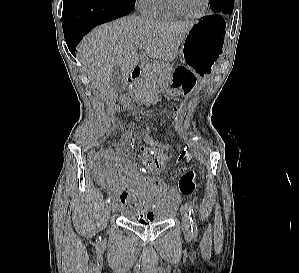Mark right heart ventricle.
Here are the masks:
<instances>
[{
    "label": "right heart ventricle",
    "mask_w": 299,
    "mask_h": 273,
    "mask_svg": "<svg viewBox=\"0 0 299 273\" xmlns=\"http://www.w3.org/2000/svg\"><path fill=\"white\" fill-rule=\"evenodd\" d=\"M144 15L153 19L171 20L180 17L170 6L168 0H150Z\"/></svg>",
    "instance_id": "obj_1"
}]
</instances>
